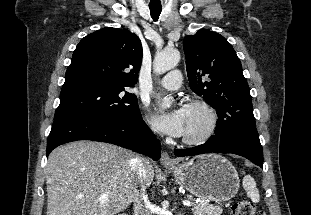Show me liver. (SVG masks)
<instances>
[{"label":"liver","mask_w":311,"mask_h":215,"mask_svg":"<svg viewBox=\"0 0 311 215\" xmlns=\"http://www.w3.org/2000/svg\"><path fill=\"white\" fill-rule=\"evenodd\" d=\"M133 154L117 146L77 141L53 150L46 165L47 215H115L142 196L154 169L145 160V177L133 173ZM108 199L100 201V196Z\"/></svg>","instance_id":"1"}]
</instances>
